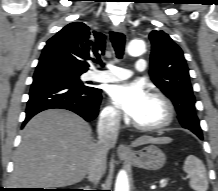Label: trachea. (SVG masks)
Listing matches in <instances>:
<instances>
[{
  "mask_svg": "<svg viewBox=\"0 0 218 191\" xmlns=\"http://www.w3.org/2000/svg\"><path fill=\"white\" fill-rule=\"evenodd\" d=\"M110 39L112 42V45L114 47L115 53L117 58L121 59L124 54V48H125V36L121 32H110ZM96 63L102 64V61L100 58L95 60Z\"/></svg>",
  "mask_w": 218,
  "mask_h": 191,
  "instance_id": "3493384b",
  "label": "trachea"
}]
</instances>
